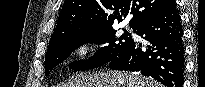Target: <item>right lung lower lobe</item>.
<instances>
[{"instance_id": "98d812e1", "label": "right lung lower lobe", "mask_w": 205, "mask_h": 87, "mask_svg": "<svg viewBox=\"0 0 205 87\" xmlns=\"http://www.w3.org/2000/svg\"><path fill=\"white\" fill-rule=\"evenodd\" d=\"M134 33L149 45L141 49L132 38L108 62L110 69L138 71L166 87H182L185 67L183 29L175 1L144 19Z\"/></svg>"}]
</instances>
